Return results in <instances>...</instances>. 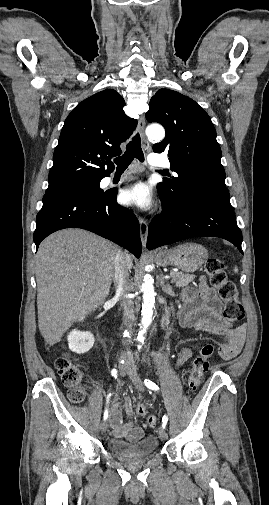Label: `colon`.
<instances>
[{
	"label": "colon",
	"mask_w": 269,
	"mask_h": 505,
	"mask_svg": "<svg viewBox=\"0 0 269 505\" xmlns=\"http://www.w3.org/2000/svg\"><path fill=\"white\" fill-rule=\"evenodd\" d=\"M204 269L209 277L210 284L217 289L220 299L224 302V319L230 323L242 320L244 318V307L239 300L235 283L228 278L223 262L216 257H211L206 260ZM213 352L212 345H205L194 359L188 378L189 389L192 393L200 387ZM55 367L64 385L69 387L68 399L76 404L83 402L85 391L81 386L82 372L79 367L67 356L58 357L55 361ZM136 412L138 415L144 416L146 414L145 406L139 403ZM155 421V417L149 416L147 424L154 426Z\"/></svg>",
	"instance_id": "1"
}]
</instances>
